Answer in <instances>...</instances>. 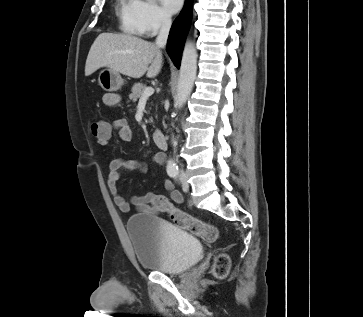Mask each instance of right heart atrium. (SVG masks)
Wrapping results in <instances>:
<instances>
[{"instance_id": "obj_1", "label": "right heart atrium", "mask_w": 363, "mask_h": 317, "mask_svg": "<svg viewBox=\"0 0 363 317\" xmlns=\"http://www.w3.org/2000/svg\"><path fill=\"white\" fill-rule=\"evenodd\" d=\"M138 33L153 36L170 24L169 16L151 0H134Z\"/></svg>"}]
</instances>
